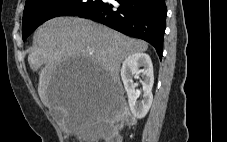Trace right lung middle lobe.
<instances>
[{"label": "right lung middle lobe", "instance_id": "obj_1", "mask_svg": "<svg viewBox=\"0 0 227 142\" xmlns=\"http://www.w3.org/2000/svg\"><path fill=\"white\" fill-rule=\"evenodd\" d=\"M102 2V0H28L23 13V40H26L38 26L51 18L77 16Z\"/></svg>", "mask_w": 227, "mask_h": 142}]
</instances>
